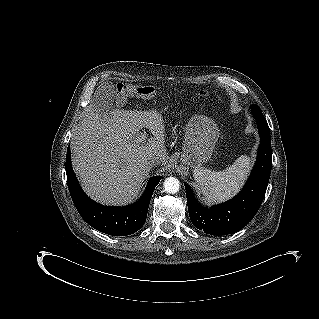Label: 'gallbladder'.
<instances>
[{"instance_id": "bac80fb5", "label": "gallbladder", "mask_w": 319, "mask_h": 319, "mask_svg": "<svg viewBox=\"0 0 319 319\" xmlns=\"http://www.w3.org/2000/svg\"><path fill=\"white\" fill-rule=\"evenodd\" d=\"M101 92V91H100ZM95 108L99 110L100 113L108 112L112 107V95L97 94L94 100Z\"/></svg>"}]
</instances>
